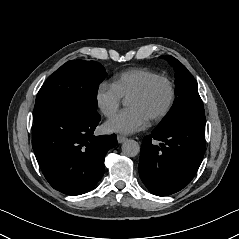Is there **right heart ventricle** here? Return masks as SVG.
<instances>
[{"label":"right heart ventricle","mask_w":239,"mask_h":239,"mask_svg":"<svg viewBox=\"0 0 239 239\" xmlns=\"http://www.w3.org/2000/svg\"><path fill=\"white\" fill-rule=\"evenodd\" d=\"M157 76V73L146 69H131L121 73L114 81V86L121 97L127 99L148 80Z\"/></svg>","instance_id":"right-heart-ventricle-1"}]
</instances>
